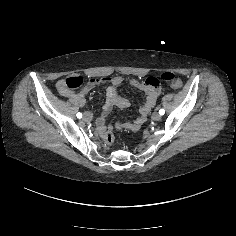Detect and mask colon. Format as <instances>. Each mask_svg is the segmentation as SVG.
Listing matches in <instances>:
<instances>
[{
  "label": "colon",
  "instance_id": "colon-1",
  "mask_svg": "<svg viewBox=\"0 0 236 236\" xmlns=\"http://www.w3.org/2000/svg\"><path fill=\"white\" fill-rule=\"evenodd\" d=\"M161 79L166 81L167 83H169V85L172 87V88H180L182 86V80L177 77L174 73L172 72H165L161 75ZM150 81L152 83L155 82V79L154 78H151ZM83 78L80 77V76H70L68 78H66L64 81H63V84H62V87L67 90V91H70V90H73V89H77L79 87L82 86L83 84ZM104 141L105 143L110 146L113 144L114 142V135L112 132L108 131L105 133V136H104Z\"/></svg>",
  "mask_w": 236,
  "mask_h": 236
}]
</instances>
